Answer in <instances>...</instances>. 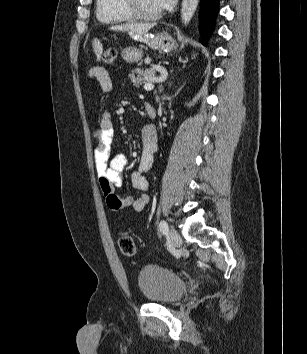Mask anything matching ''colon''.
Masks as SVG:
<instances>
[{"mask_svg":"<svg viewBox=\"0 0 307 354\" xmlns=\"http://www.w3.org/2000/svg\"><path fill=\"white\" fill-rule=\"evenodd\" d=\"M116 50L107 49L102 53L101 59L105 64H111L116 59ZM118 246L121 253L129 258L135 257L137 253L136 245L132 236L128 232H123L118 238Z\"/></svg>","mask_w":307,"mask_h":354,"instance_id":"1","label":"colon"}]
</instances>
